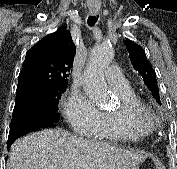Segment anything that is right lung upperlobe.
<instances>
[{
    "mask_svg": "<svg viewBox=\"0 0 177 169\" xmlns=\"http://www.w3.org/2000/svg\"><path fill=\"white\" fill-rule=\"evenodd\" d=\"M75 51L71 34L64 27L41 39L26 54L16 96L66 88Z\"/></svg>",
    "mask_w": 177,
    "mask_h": 169,
    "instance_id": "obj_1",
    "label": "right lung upper lobe"
}]
</instances>
